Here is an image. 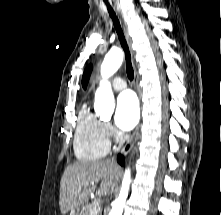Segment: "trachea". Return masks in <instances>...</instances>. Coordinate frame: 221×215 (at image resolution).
<instances>
[{"mask_svg":"<svg viewBox=\"0 0 221 215\" xmlns=\"http://www.w3.org/2000/svg\"><path fill=\"white\" fill-rule=\"evenodd\" d=\"M105 3L107 5V9H108L109 15L112 18V21H113L114 27L116 29V32L118 34V38L120 40L121 46H122V48H123V50L125 52L127 76L129 78V80H132L134 78V72H133V68H132V64H131V56H130L128 45H127V42L125 40V37H124L123 31H122L120 22H119L116 14H115L113 8L110 6V4H108L106 2V0H105Z\"/></svg>","mask_w":221,"mask_h":215,"instance_id":"3493384b","label":"trachea"}]
</instances>
